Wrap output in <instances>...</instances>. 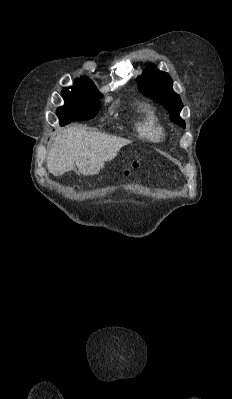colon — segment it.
Segmentation results:
<instances>
[{
  "mask_svg": "<svg viewBox=\"0 0 232 399\" xmlns=\"http://www.w3.org/2000/svg\"><path fill=\"white\" fill-rule=\"evenodd\" d=\"M128 164H129V165H137V164H138V161H137V160H129V161H128Z\"/></svg>",
  "mask_w": 232,
  "mask_h": 399,
  "instance_id": "5ec220e1",
  "label": "colon"
}]
</instances>
